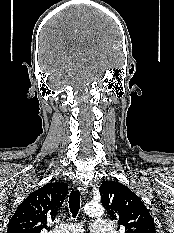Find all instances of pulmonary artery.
<instances>
[{"label":"pulmonary artery","mask_w":174,"mask_h":233,"mask_svg":"<svg viewBox=\"0 0 174 233\" xmlns=\"http://www.w3.org/2000/svg\"><path fill=\"white\" fill-rule=\"evenodd\" d=\"M91 231L93 233H111L112 227L107 220L95 219L91 223ZM50 233H83V228L80 224H61Z\"/></svg>","instance_id":"e3ab8cb5"}]
</instances>
